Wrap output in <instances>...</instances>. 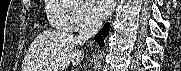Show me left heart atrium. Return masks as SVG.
Listing matches in <instances>:
<instances>
[{
  "label": "left heart atrium",
  "instance_id": "1",
  "mask_svg": "<svg viewBox=\"0 0 181 71\" xmlns=\"http://www.w3.org/2000/svg\"><path fill=\"white\" fill-rule=\"evenodd\" d=\"M88 3L95 14L100 17L109 14L114 5L112 0H89Z\"/></svg>",
  "mask_w": 181,
  "mask_h": 71
}]
</instances>
